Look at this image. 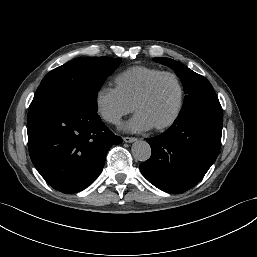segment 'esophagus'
<instances>
[{
  "instance_id": "obj_1",
  "label": "esophagus",
  "mask_w": 257,
  "mask_h": 257,
  "mask_svg": "<svg viewBox=\"0 0 257 257\" xmlns=\"http://www.w3.org/2000/svg\"><path fill=\"white\" fill-rule=\"evenodd\" d=\"M123 141L126 142V143H132V142L137 141V138H135V137H123Z\"/></svg>"
}]
</instances>
